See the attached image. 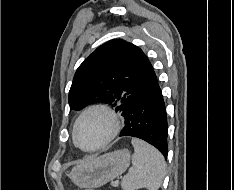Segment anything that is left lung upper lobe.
<instances>
[{"label": "left lung upper lobe", "instance_id": "left-lung-upper-lobe-1", "mask_svg": "<svg viewBox=\"0 0 234 190\" xmlns=\"http://www.w3.org/2000/svg\"><path fill=\"white\" fill-rule=\"evenodd\" d=\"M150 65L143 51L122 39L99 46L78 67L70 91V109L104 102L124 116L129 103L143 89Z\"/></svg>", "mask_w": 234, "mask_h": 190}]
</instances>
